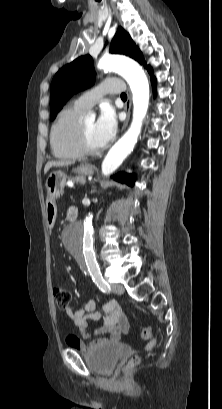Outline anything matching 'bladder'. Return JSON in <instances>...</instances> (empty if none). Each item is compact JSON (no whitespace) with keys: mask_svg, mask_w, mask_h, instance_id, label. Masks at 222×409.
Returning a JSON list of instances; mask_svg holds the SVG:
<instances>
[{"mask_svg":"<svg viewBox=\"0 0 222 409\" xmlns=\"http://www.w3.org/2000/svg\"><path fill=\"white\" fill-rule=\"evenodd\" d=\"M122 354L120 344L109 342L96 346L85 354L87 366L102 375L111 374Z\"/></svg>","mask_w":222,"mask_h":409,"instance_id":"obj_1","label":"bladder"}]
</instances>
